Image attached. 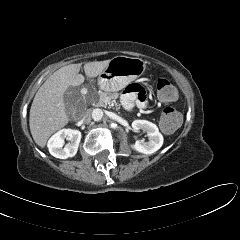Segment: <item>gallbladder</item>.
Listing matches in <instances>:
<instances>
[{
    "instance_id": "1",
    "label": "gallbladder",
    "mask_w": 240,
    "mask_h": 240,
    "mask_svg": "<svg viewBox=\"0 0 240 240\" xmlns=\"http://www.w3.org/2000/svg\"><path fill=\"white\" fill-rule=\"evenodd\" d=\"M75 89L73 88H69L68 91L65 93L64 95V100H65V103L67 105V107H70L71 104H72V100H71V91H74Z\"/></svg>"
}]
</instances>
